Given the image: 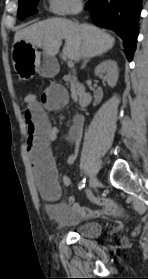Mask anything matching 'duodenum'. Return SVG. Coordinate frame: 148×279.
<instances>
[{"mask_svg":"<svg viewBox=\"0 0 148 279\" xmlns=\"http://www.w3.org/2000/svg\"><path fill=\"white\" fill-rule=\"evenodd\" d=\"M91 100H92V96L90 92L86 89H82L78 100L79 106L86 107L90 104Z\"/></svg>","mask_w":148,"mask_h":279,"instance_id":"1","label":"duodenum"}]
</instances>
